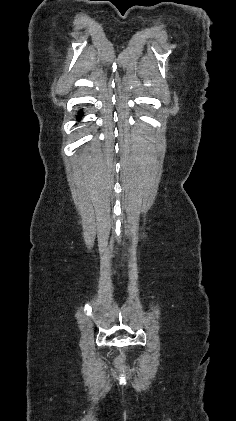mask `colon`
Masks as SVG:
<instances>
[{"label": "colon", "mask_w": 236, "mask_h": 421, "mask_svg": "<svg viewBox=\"0 0 236 421\" xmlns=\"http://www.w3.org/2000/svg\"><path fill=\"white\" fill-rule=\"evenodd\" d=\"M123 361H124L123 357H118L115 362H116L117 365H121L123 363Z\"/></svg>", "instance_id": "1"}]
</instances>
